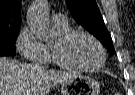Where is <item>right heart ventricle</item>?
<instances>
[{
  "mask_svg": "<svg viewBox=\"0 0 135 95\" xmlns=\"http://www.w3.org/2000/svg\"><path fill=\"white\" fill-rule=\"evenodd\" d=\"M53 27L59 33V35L65 34L68 31H70V26L68 25V23L66 25H63V26L53 25ZM47 50H48V57L50 59H52L53 61H55L54 56H53V52H52V46L47 47Z\"/></svg>",
  "mask_w": 135,
  "mask_h": 95,
  "instance_id": "1",
  "label": "right heart ventricle"
}]
</instances>
